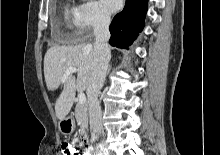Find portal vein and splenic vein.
<instances>
[{"instance_id": "portal-vein-and-splenic-vein-1", "label": "portal vein and splenic vein", "mask_w": 220, "mask_h": 155, "mask_svg": "<svg viewBox=\"0 0 220 155\" xmlns=\"http://www.w3.org/2000/svg\"><path fill=\"white\" fill-rule=\"evenodd\" d=\"M76 72H77V68H75V67L68 68L66 70L65 74L63 75L61 81L65 82L71 74L76 73ZM78 99H79V103L80 104L86 103V96H85V94L83 92H80L78 94Z\"/></svg>"}]
</instances>
